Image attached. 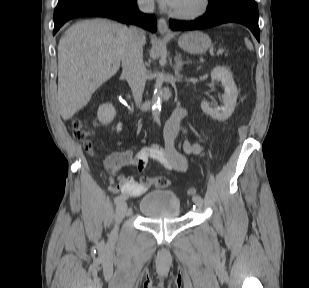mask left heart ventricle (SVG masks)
<instances>
[{
	"mask_svg": "<svg viewBox=\"0 0 309 288\" xmlns=\"http://www.w3.org/2000/svg\"><path fill=\"white\" fill-rule=\"evenodd\" d=\"M201 0H176L171 9L175 11L191 12L200 7Z\"/></svg>",
	"mask_w": 309,
	"mask_h": 288,
	"instance_id": "obj_1",
	"label": "left heart ventricle"
}]
</instances>
